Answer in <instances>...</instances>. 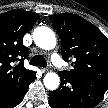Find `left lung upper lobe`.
<instances>
[{
	"mask_svg": "<svg viewBox=\"0 0 108 108\" xmlns=\"http://www.w3.org/2000/svg\"><path fill=\"white\" fill-rule=\"evenodd\" d=\"M51 22L61 37V53L73 69L58 73L108 82V39L93 24L75 14H56Z\"/></svg>",
	"mask_w": 108,
	"mask_h": 108,
	"instance_id": "left-lung-upper-lobe-1",
	"label": "left lung upper lobe"
}]
</instances>
